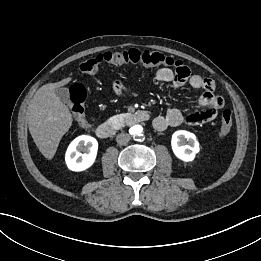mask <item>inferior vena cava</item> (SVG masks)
Returning a JSON list of instances; mask_svg holds the SVG:
<instances>
[{
	"label": "inferior vena cava",
	"instance_id": "1",
	"mask_svg": "<svg viewBox=\"0 0 261 261\" xmlns=\"http://www.w3.org/2000/svg\"><path fill=\"white\" fill-rule=\"evenodd\" d=\"M131 139L128 133H120L116 137V141L119 145H126Z\"/></svg>",
	"mask_w": 261,
	"mask_h": 261
}]
</instances>
